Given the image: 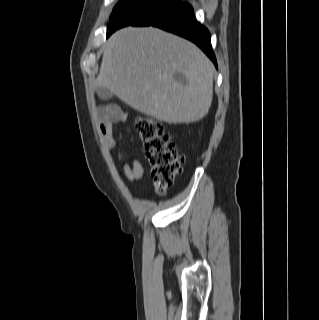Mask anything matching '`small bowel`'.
I'll use <instances>...</instances> for the list:
<instances>
[{
    "label": "small bowel",
    "mask_w": 319,
    "mask_h": 320,
    "mask_svg": "<svg viewBox=\"0 0 319 320\" xmlns=\"http://www.w3.org/2000/svg\"><path fill=\"white\" fill-rule=\"evenodd\" d=\"M126 115L118 108L108 107L99 114V134L102 145L111 150L116 146L114 137V124L124 122ZM119 158L123 162L121 173L128 181H138L143 176V166L139 158L135 157L131 161L126 160V155L123 152L119 153Z\"/></svg>",
    "instance_id": "small-bowel-1"
}]
</instances>
